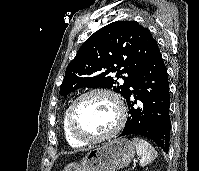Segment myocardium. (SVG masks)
<instances>
[{
    "mask_svg": "<svg viewBox=\"0 0 199 171\" xmlns=\"http://www.w3.org/2000/svg\"><path fill=\"white\" fill-rule=\"evenodd\" d=\"M96 94L108 96L114 101L118 110V121L111 131L100 136H88L82 133L77 128L75 123V116L79 103L83 99ZM67 119H68L69 130L76 139L84 143H99L116 136L122 130L127 120V108L125 106L123 99L118 93L108 88L96 87L83 92L73 100L68 109Z\"/></svg>",
    "mask_w": 199,
    "mask_h": 171,
    "instance_id": "myocardium-1",
    "label": "myocardium"
}]
</instances>
